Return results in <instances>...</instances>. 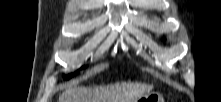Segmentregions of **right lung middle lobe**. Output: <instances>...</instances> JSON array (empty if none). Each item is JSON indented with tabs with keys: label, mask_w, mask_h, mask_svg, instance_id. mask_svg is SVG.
Returning <instances> with one entry per match:
<instances>
[{
	"label": "right lung middle lobe",
	"mask_w": 221,
	"mask_h": 102,
	"mask_svg": "<svg viewBox=\"0 0 221 102\" xmlns=\"http://www.w3.org/2000/svg\"><path fill=\"white\" fill-rule=\"evenodd\" d=\"M72 76V74L68 75V76H64L65 79H68Z\"/></svg>",
	"instance_id": "right-lung-middle-lobe-1"
}]
</instances>
